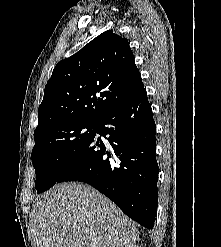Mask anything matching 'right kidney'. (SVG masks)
<instances>
[{"label":"right kidney","mask_w":221,"mask_h":247,"mask_svg":"<svg viewBox=\"0 0 221 247\" xmlns=\"http://www.w3.org/2000/svg\"><path fill=\"white\" fill-rule=\"evenodd\" d=\"M125 247H139L136 244H130V245H126Z\"/></svg>","instance_id":"1"}]
</instances>
